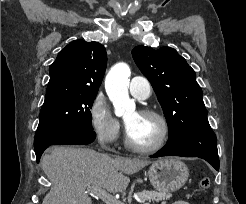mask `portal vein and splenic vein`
Returning a JSON list of instances; mask_svg holds the SVG:
<instances>
[{
	"label": "portal vein and splenic vein",
	"mask_w": 246,
	"mask_h": 204,
	"mask_svg": "<svg viewBox=\"0 0 246 204\" xmlns=\"http://www.w3.org/2000/svg\"><path fill=\"white\" fill-rule=\"evenodd\" d=\"M89 191L99 196L106 204H124L122 201L116 199L103 188L92 186L89 188Z\"/></svg>",
	"instance_id": "obj_1"
}]
</instances>
